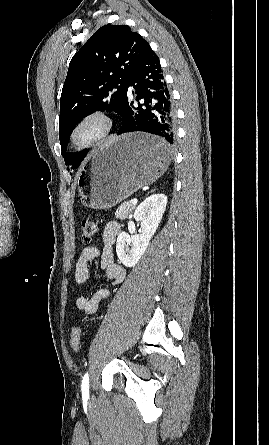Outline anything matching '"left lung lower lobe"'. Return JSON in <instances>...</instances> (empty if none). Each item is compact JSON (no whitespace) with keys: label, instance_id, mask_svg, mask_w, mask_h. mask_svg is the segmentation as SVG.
Listing matches in <instances>:
<instances>
[{"label":"left lung lower lobe","instance_id":"0a47b994","mask_svg":"<svg viewBox=\"0 0 269 445\" xmlns=\"http://www.w3.org/2000/svg\"><path fill=\"white\" fill-rule=\"evenodd\" d=\"M127 86L135 88L133 95L143 103L134 105L126 94L123 126L117 134L141 131L157 135L158 141L146 144L145 151L153 155L171 153L176 137V111L159 58L150 46L132 72Z\"/></svg>","mask_w":269,"mask_h":445}]
</instances>
